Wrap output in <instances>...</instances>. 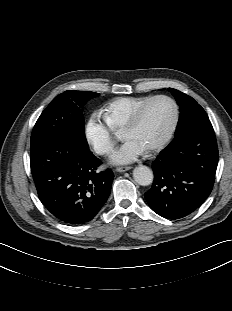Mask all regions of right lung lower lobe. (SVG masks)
<instances>
[{
  "label": "right lung lower lobe",
  "instance_id": "98d812e1",
  "mask_svg": "<svg viewBox=\"0 0 232 311\" xmlns=\"http://www.w3.org/2000/svg\"><path fill=\"white\" fill-rule=\"evenodd\" d=\"M31 171L39 198L60 221L79 225L92 220L111 192L113 172L96 173L100 160L89 150L59 138L31 145Z\"/></svg>",
  "mask_w": 232,
  "mask_h": 311
}]
</instances>
